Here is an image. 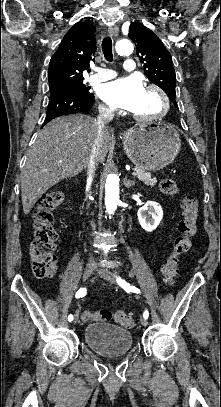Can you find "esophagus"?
<instances>
[{
    "label": "esophagus",
    "mask_w": 221,
    "mask_h": 407,
    "mask_svg": "<svg viewBox=\"0 0 221 407\" xmlns=\"http://www.w3.org/2000/svg\"><path fill=\"white\" fill-rule=\"evenodd\" d=\"M108 32H109V34L115 36V35H117L118 32H119V28H118L117 25L113 24V25H111V26L108 28Z\"/></svg>",
    "instance_id": "34e87169"
}]
</instances>
